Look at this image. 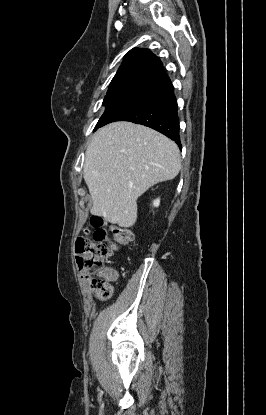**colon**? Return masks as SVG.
<instances>
[{
	"label": "colon",
	"mask_w": 266,
	"mask_h": 415,
	"mask_svg": "<svg viewBox=\"0 0 266 415\" xmlns=\"http://www.w3.org/2000/svg\"><path fill=\"white\" fill-rule=\"evenodd\" d=\"M90 226L93 238L80 237L76 240V260L82 277L98 299L111 296V274L105 266L107 258L116 250L127 246L133 240L132 232L119 225H110L112 240L107 238L106 222L101 217H92ZM89 231V230H88Z\"/></svg>",
	"instance_id": "1"
}]
</instances>
